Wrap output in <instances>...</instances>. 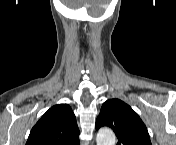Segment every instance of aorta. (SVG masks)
Returning a JSON list of instances; mask_svg holds the SVG:
<instances>
[{
    "mask_svg": "<svg viewBox=\"0 0 176 145\" xmlns=\"http://www.w3.org/2000/svg\"><path fill=\"white\" fill-rule=\"evenodd\" d=\"M115 134L111 129H100L97 134V145H114Z\"/></svg>",
    "mask_w": 176,
    "mask_h": 145,
    "instance_id": "762f6f07",
    "label": "aorta"
}]
</instances>
